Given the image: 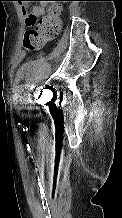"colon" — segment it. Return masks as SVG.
Here are the masks:
<instances>
[{"mask_svg": "<svg viewBox=\"0 0 122 218\" xmlns=\"http://www.w3.org/2000/svg\"><path fill=\"white\" fill-rule=\"evenodd\" d=\"M25 1H47V0H25ZM61 7L52 4L46 15L37 18L34 14L26 16V24L29 29L25 32L23 45L27 50L40 49L45 43L54 40L61 27L60 21ZM37 25V28H33Z\"/></svg>", "mask_w": 122, "mask_h": 218, "instance_id": "1", "label": "colon"}]
</instances>
